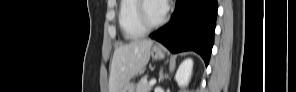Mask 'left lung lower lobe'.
Returning a JSON list of instances; mask_svg holds the SVG:
<instances>
[{
    "label": "left lung lower lobe",
    "instance_id": "obj_1",
    "mask_svg": "<svg viewBox=\"0 0 296 92\" xmlns=\"http://www.w3.org/2000/svg\"><path fill=\"white\" fill-rule=\"evenodd\" d=\"M217 0H176L171 21L150 37L171 52L193 50L208 65L214 41Z\"/></svg>",
    "mask_w": 296,
    "mask_h": 92
}]
</instances>
